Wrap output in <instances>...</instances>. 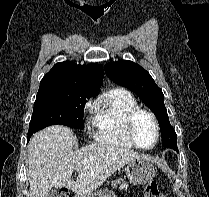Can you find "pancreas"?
<instances>
[{
  "instance_id": "obj_1",
  "label": "pancreas",
  "mask_w": 209,
  "mask_h": 197,
  "mask_svg": "<svg viewBox=\"0 0 209 197\" xmlns=\"http://www.w3.org/2000/svg\"><path fill=\"white\" fill-rule=\"evenodd\" d=\"M112 185L114 187H117V185H119L121 190L128 188V184L126 182H124L123 179L112 181Z\"/></svg>"
}]
</instances>
